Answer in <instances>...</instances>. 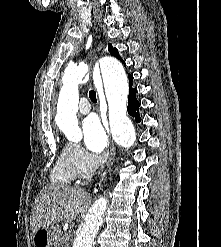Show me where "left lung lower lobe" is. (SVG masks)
I'll return each mask as SVG.
<instances>
[{
  "instance_id": "obj_1",
  "label": "left lung lower lobe",
  "mask_w": 221,
  "mask_h": 247,
  "mask_svg": "<svg viewBox=\"0 0 221 247\" xmlns=\"http://www.w3.org/2000/svg\"><path fill=\"white\" fill-rule=\"evenodd\" d=\"M132 81H133V76L129 75V97H128V113L135 117L137 122L141 121V118L139 117V106L140 103L138 102L136 98V93L137 89L132 87Z\"/></svg>"
}]
</instances>
